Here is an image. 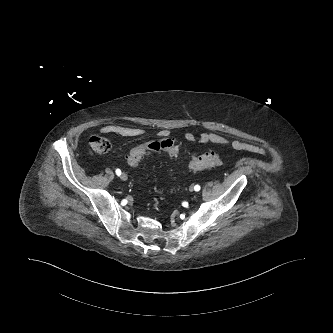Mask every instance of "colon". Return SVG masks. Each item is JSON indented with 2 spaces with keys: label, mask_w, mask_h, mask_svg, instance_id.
<instances>
[{
  "label": "colon",
  "mask_w": 333,
  "mask_h": 333,
  "mask_svg": "<svg viewBox=\"0 0 333 333\" xmlns=\"http://www.w3.org/2000/svg\"><path fill=\"white\" fill-rule=\"evenodd\" d=\"M90 144L93 150L99 153H106L112 148L111 141L102 135L92 136L90 138ZM156 151H166L172 156H177L180 153V148L174 139L168 137L160 138L132 148L125 157V162L129 167L137 168L147 154ZM220 164L221 160L219 156L210 151L192 158L189 162V168L197 171L213 168Z\"/></svg>",
  "instance_id": "obj_1"
}]
</instances>
